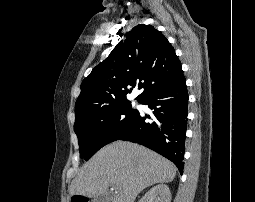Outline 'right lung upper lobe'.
Segmentation results:
<instances>
[{
    "mask_svg": "<svg viewBox=\"0 0 255 202\" xmlns=\"http://www.w3.org/2000/svg\"><path fill=\"white\" fill-rule=\"evenodd\" d=\"M110 55L81 84L75 104L76 120L99 108L129 102L138 86L141 102L148 95L184 79L181 63L167 38L151 25H137L126 33Z\"/></svg>",
    "mask_w": 255,
    "mask_h": 202,
    "instance_id": "1",
    "label": "right lung upper lobe"
}]
</instances>
